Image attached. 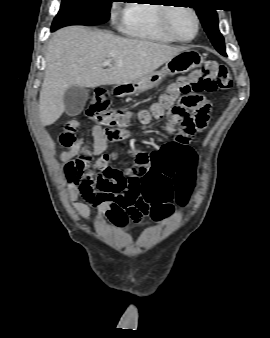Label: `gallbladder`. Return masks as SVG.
<instances>
[{
	"label": "gallbladder",
	"mask_w": 270,
	"mask_h": 338,
	"mask_svg": "<svg viewBox=\"0 0 270 338\" xmlns=\"http://www.w3.org/2000/svg\"><path fill=\"white\" fill-rule=\"evenodd\" d=\"M89 96V89L80 86L69 87L64 96L63 102L65 111L70 116L78 115L82 112Z\"/></svg>",
	"instance_id": "1"
}]
</instances>
